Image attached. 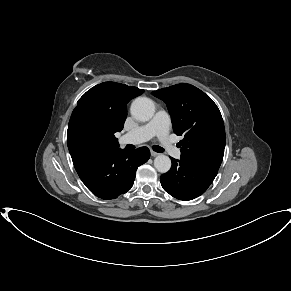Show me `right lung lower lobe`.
<instances>
[{
	"label": "right lung lower lobe",
	"mask_w": 291,
	"mask_h": 291,
	"mask_svg": "<svg viewBox=\"0 0 291 291\" xmlns=\"http://www.w3.org/2000/svg\"><path fill=\"white\" fill-rule=\"evenodd\" d=\"M74 167L85 186L97 197L109 200L128 192L137 168L147 162L150 151L103 150L90 143L68 141Z\"/></svg>",
	"instance_id": "98d812e1"
}]
</instances>
